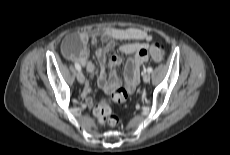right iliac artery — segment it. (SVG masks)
I'll use <instances>...</instances> for the list:
<instances>
[{
	"mask_svg": "<svg viewBox=\"0 0 230 155\" xmlns=\"http://www.w3.org/2000/svg\"><path fill=\"white\" fill-rule=\"evenodd\" d=\"M75 68L78 70V71H81V66L77 63H75Z\"/></svg>",
	"mask_w": 230,
	"mask_h": 155,
	"instance_id": "obj_1",
	"label": "right iliac artery"
}]
</instances>
